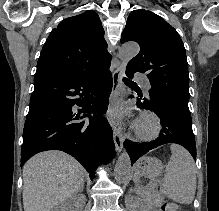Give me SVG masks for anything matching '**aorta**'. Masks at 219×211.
Wrapping results in <instances>:
<instances>
[{"instance_id":"aorta-1","label":"aorta","mask_w":219,"mask_h":211,"mask_svg":"<svg viewBox=\"0 0 219 211\" xmlns=\"http://www.w3.org/2000/svg\"><path fill=\"white\" fill-rule=\"evenodd\" d=\"M139 46L134 42H129L121 46L119 50V58L124 62H129L139 53ZM131 160L126 151L118 158L115 168L114 177L118 183H127L131 177Z\"/></svg>"}]
</instances>
